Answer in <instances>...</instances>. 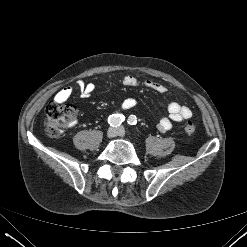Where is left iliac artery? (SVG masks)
I'll use <instances>...</instances> for the list:
<instances>
[{
	"mask_svg": "<svg viewBox=\"0 0 247 247\" xmlns=\"http://www.w3.org/2000/svg\"><path fill=\"white\" fill-rule=\"evenodd\" d=\"M127 123H128L129 125H135V124L137 123V118H136V116L130 115L129 118H128V120H127Z\"/></svg>",
	"mask_w": 247,
	"mask_h": 247,
	"instance_id": "left-iliac-artery-1",
	"label": "left iliac artery"
}]
</instances>
